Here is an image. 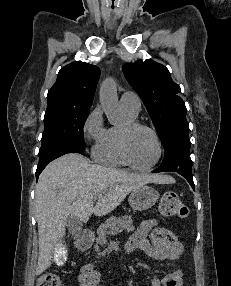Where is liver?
Returning a JSON list of instances; mask_svg holds the SVG:
<instances>
[{
    "mask_svg": "<svg viewBox=\"0 0 231 286\" xmlns=\"http://www.w3.org/2000/svg\"><path fill=\"white\" fill-rule=\"evenodd\" d=\"M174 182L167 175H136L91 164L77 153L66 154L48 164L39 177L35 194L39 234L36 275L51 266L53 250L65 235L69 216H77L85 223L92 214L103 216L113 211L138 187ZM96 196L98 202L93 206Z\"/></svg>",
    "mask_w": 231,
    "mask_h": 286,
    "instance_id": "liver-1",
    "label": "liver"
}]
</instances>
